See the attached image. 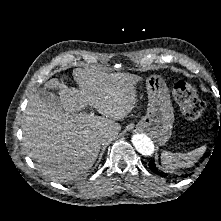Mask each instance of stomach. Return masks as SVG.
<instances>
[{"label": "stomach", "mask_w": 221, "mask_h": 221, "mask_svg": "<svg viewBox=\"0 0 221 221\" xmlns=\"http://www.w3.org/2000/svg\"><path fill=\"white\" fill-rule=\"evenodd\" d=\"M148 108L146 115L137 123L139 131L150 134L158 144L164 145L171 137L174 112L170 94L164 80L159 75H151L146 80Z\"/></svg>", "instance_id": "0dacf381"}]
</instances>
